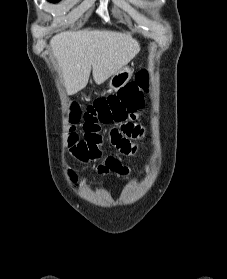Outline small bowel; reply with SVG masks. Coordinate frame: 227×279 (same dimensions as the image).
Wrapping results in <instances>:
<instances>
[{
	"instance_id": "small-bowel-1",
	"label": "small bowel",
	"mask_w": 227,
	"mask_h": 279,
	"mask_svg": "<svg viewBox=\"0 0 227 279\" xmlns=\"http://www.w3.org/2000/svg\"><path fill=\"white\" fill-rule=\"evenodd\" d=\"M114 145L121 150V152L127 154L130 152V146L126 139H124L119 133H116V138L113 139ZM97 174L101 176H107L111 173H116L121 176L128 175V170L123 168L119 161L114 157H107L98 167Z\"/></svg>"
}]
</instances>
